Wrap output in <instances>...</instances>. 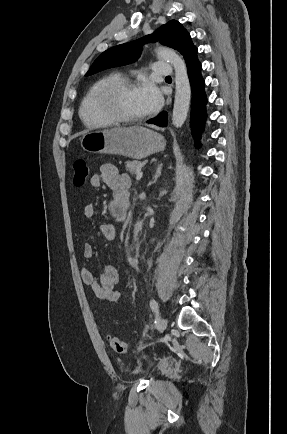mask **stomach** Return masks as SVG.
<instances>
[{
	"instance_id": "0dacf381",
	"label": "stomach",
	"mask_w": 287,
	"mask_h": 434,
	"mask_svg": "<svg viewBox=\"0 0 287 434\" xmlns=\"http://www.w3.org/2000/svg\"><path fill=\"white\" fill-rule=\"evenodd\" d=\"M80 145L90 153L142 159L163 151L166 141L159 133L136 126L88 132L81 137Z\"/></svg>"
}]
</instances>
